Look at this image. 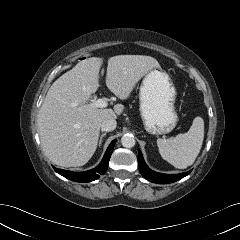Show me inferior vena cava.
Instances as JSON below:
<instances>
[{
	"instance_id": "inferior-vena-cava-1",
	"label": "inferior vena cava",
	"mask_w": 240,
	"mask_h": 240,
	"mask_svg": "<svg viewBox=\"0 0 240 240\" xmlns=\"http://www.w3.org/2000/svg\"><path fill=\"white\" fill-rule=\"evenodd\" d=\"M116 125L117 122L115 119H106L101 123L100 128L104 132H110L116 128Z\"/></svg>"
}]
</instances>
